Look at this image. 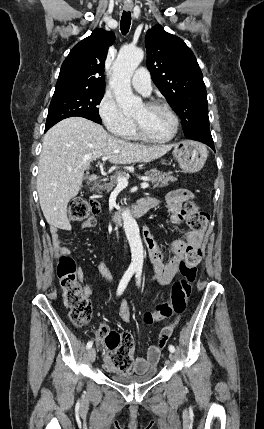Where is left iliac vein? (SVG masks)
I'll use <instances>...</instances> for the list:
<instances>
[{"instance_id":"left-iliac-vein-1","label":"left iliac vein","mask_w":264,"mask_h":429,"mask_svg":"<svg viewBox=\"0 0 264 429\" xmlns=\"http://www.w3.org/2000/svg\"><path fill=\"white\" fill-rule=\"evenodd\" d=\"M169 359L171 360V362H173L175 360V356H174L173 352L169 353Z\"/></svg>"}]
</instances>
